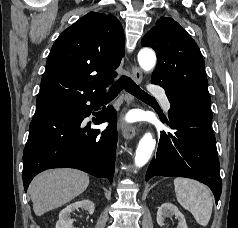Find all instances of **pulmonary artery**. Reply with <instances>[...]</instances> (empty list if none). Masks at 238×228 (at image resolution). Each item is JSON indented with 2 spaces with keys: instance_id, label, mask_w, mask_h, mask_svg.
I'll list each match as a JSON object with an SVG mask.
<instances>
[{
  "instance_id": "pulmonary-artery-1",
  "label": "pulmonary artery",
  "mask_w": 238,
  "mask_h": 228,
  "mask_svg": "<svg viewBox=\"0 0 238 228\" xmlns=\"http://www.w3.org/2000/svg\"><path fill=\"white\" fill-rule=\"evenodd\" d=\"M149 92L154 95H160L162 98L163 106L166 111L170 109V102L165 95H163V89L156 85L149 86Z\"/></svg>"
}]
</instances>
